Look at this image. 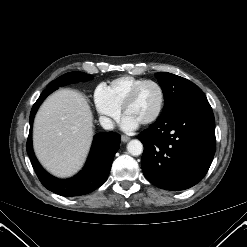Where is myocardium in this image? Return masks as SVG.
Returning a JSON list of instances; mask_svg holds the SVG:
<instances>
[{
	"label": "myocardium",
	"mask_w": 247,
	"mask_h": 247,
	"mask_svg": "<svg viewBox=\"0 0 247 247\" xmlns=\"http://www.w3.org/2000/svg\"><path fill=\"white\" fill-rule=\"evenodd\" d=\"M148 84H152L157 87L160 93V102L156 112L153 114V116L142 122L143 125H150L156 122L164 110L166 95L163 86L159 82L150 79L142 81L132 89L122 105L123 113L126 114L128 107L136 100L141 89Z\"/></svg>",
	"instance_id": "myocardium-1"
}]
</instances>
